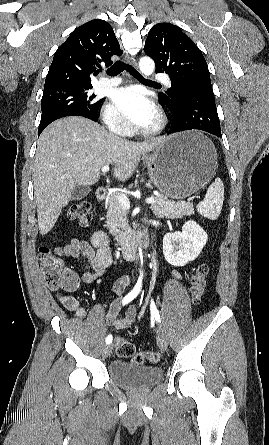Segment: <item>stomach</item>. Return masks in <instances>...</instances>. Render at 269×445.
<instances>
[{"mask_svg": "<svg viewBox=\"0 0 269 445\" xmlns=\"http://www.w3.org/2000/svg\"><path fill=\"white\" fill-rule=\"evenodd\" d=\"M144 161L158 190L180 200L209 182L217 168V152L203 134L187 131L167 137Z\"/></svg>", "mask_w": 269, "mask_h": 445, "instance_id": "0dacf381", "label": "stomach"}]
</instances>
